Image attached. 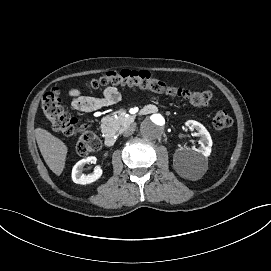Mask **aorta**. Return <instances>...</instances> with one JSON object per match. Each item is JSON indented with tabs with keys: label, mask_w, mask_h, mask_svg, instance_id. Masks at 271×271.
<instances>
[{
	"label": "aorta",
	"mask_w": 271,
	"mask_h": 271,
	"mask_svg": "<svg viewBox=\"0 0 271 271\" xmlns=\"http://www.w3.org/2000/svg\"><path fill=\"white\" fill-rule=\"evenodd\" d=\"M167 126V121L161 114H153L142 121L140 125L141 135L149 140L159 139Z\"/></svg>",
	"instance_id": "obj_1"
}]
</instances>
